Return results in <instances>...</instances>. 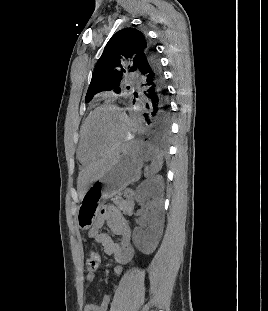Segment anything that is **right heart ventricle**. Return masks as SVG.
<instances>
[{
  "mask_svg": "<svg viewBox=\"0 0 268 311\" xmlns=\"http://www.w3.org/2000/svg\"><path fill=\"white\" fill-rule=\"evenodd\" d=\"M78 158L84 164L92 163L96 159V157L89 154L88 151L84 147L83 139H82V128L80 131V141H79V146H78Z\"/></svg>",
  "mask_w": 268,
  "mask_h": 311,
  "instance_id": "obj_1",
  "label": "right heart ventricle"
}]
</instances>
